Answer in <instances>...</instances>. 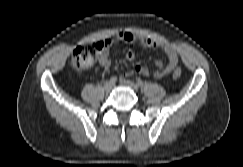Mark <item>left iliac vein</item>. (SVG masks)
I'll list each match as a JSON object with an SVG mask.
<instances>
[{"label": "left iliac vein", "mask_w": 243, "mask_h": 167, "mask_svg": "<svg viewBox=\"0 0 243 167\" xmlns=\"http://www.w3.org/2000/svg\"><path fill=\"white\" fill-rule=\"evenodd\" d=\"M120 84L122 86H126V87H129L131 89H133L134 91H138V87L135 85L134 82L130 81V80H121L120 81Z\"/></svg>", "instance_id": "1"}]
</instances>
